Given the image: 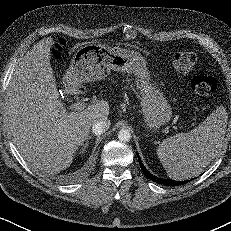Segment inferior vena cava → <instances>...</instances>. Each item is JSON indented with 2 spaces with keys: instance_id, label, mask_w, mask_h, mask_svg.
I'll use <instances>...</instances> for the list:
<instances>
[{
  "instance_id": "602c4592",
  "label": "inferior vena cava",
  "mask_w": 231,
  "mask_h": 231,
  "mask_svg": "<svg viewBox=\"0 0 231 231\" xmlns=\"http://www.w3.org/2000/svg\"><path fill=\"white\" fill-rule=\"evenodd\" d=\"M110 124H111L110 120L98 121L95 124H93L92 132L95 135L100 136L101 134H103L104 132H106L109 129Z\"/></svg>"
}]
</instances>
